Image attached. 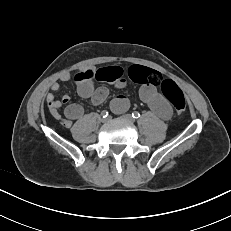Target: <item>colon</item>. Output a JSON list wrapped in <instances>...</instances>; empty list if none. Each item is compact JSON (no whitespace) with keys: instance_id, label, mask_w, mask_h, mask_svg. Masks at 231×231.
<instances>
[{"instance_id":"1","label":"colon","mask_w":231,"mask_h":231,"mask_svg":"<svg viewBox=\"0 0 231 231\" xmlns=\"http://www.w3.org/2000/svg\"><path fill=\"white\" fill-rule=\"evenodd\" d=\"M129 76L137 83L160 86L175 111L179 114L185 111L186 101L183 92L174 81L163 79L159 72L141 66L133 67Z\"/></svg>"}]
</instances>
